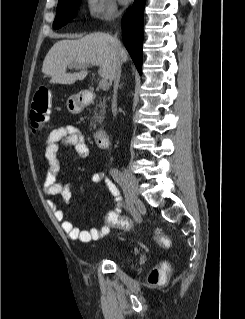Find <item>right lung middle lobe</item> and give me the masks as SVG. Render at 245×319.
Returning <instances> with one entry per match:
<instances>
[{"label":"right lung middle lobe","instance_id":"right-lung-middle-lobe-1","mask_svg":"<svg viewBox=\"0 0 245 319\" xmlns=\"http://www.w3.org/2000/svg\"><path fill=\"white\" fill-rule=\"evenodd\" d=\"M81 0H59L56 9V17L53 23L54 29L61 28L66 25L72 18L76 16V10Z\"/></svg>","mask_w":245,"mask_h":319}]
</instances>
